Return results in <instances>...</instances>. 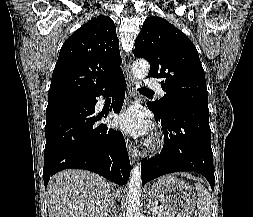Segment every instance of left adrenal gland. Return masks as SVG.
<instances>
[{
    "label": "left adrenal gland",
    "instance_id": "1",
    "mask_svg": "<svg viewBox=\"0 0 253 217\" xmlns=\"http://www.w3.org/2000/svg\"><path fill=\"white\" fill-rule=\"evenodd\" d=\"M147 208H148V214H149V217H154L153 213H152V210H153V205L151 204V200L149 201L148 205H147Z\"/></svg>",
    "mask_w": 253,
    "mask_h": 217
}]
</instances>
